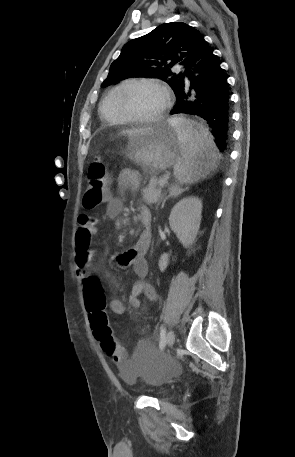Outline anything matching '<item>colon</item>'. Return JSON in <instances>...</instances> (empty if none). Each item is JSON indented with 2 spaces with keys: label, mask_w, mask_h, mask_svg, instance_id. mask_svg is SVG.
<instances>
[{
  "label": "colon",
  "mask_w": 295,
  "mask_h": 457,
  "mask_svg": "<svg viewBox=\"0 0 295 457\" xmlns=\"http://www.w3.org/2000/svg\"><path fill=\"white\" fill-rule=\"evenodd\" d=\"M108 185L107 168L100 158H95L88 168L87 189L83 196L84 208L94 209L106 201L109 198ZM84 293L86 305L90 312L91 326L100 349L112 357L113 363L126 360L128 352L123 351L121 343L115 341L109 324L102 293V281H99L97 277L88 278L84 284Z\"/></svg>",
  "instance_id": "obj_1"
}]
</instances>
